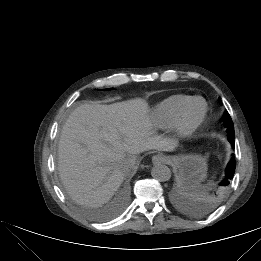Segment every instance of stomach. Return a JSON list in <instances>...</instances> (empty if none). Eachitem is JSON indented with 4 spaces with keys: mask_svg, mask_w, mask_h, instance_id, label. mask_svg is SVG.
<instances>
[{
    "mask_svg": "<svg viewBox=\"0 0 261 261\" xmlns=\"http://www.w3.org/2000/svg\"><path fill=\"white\" fill-rule=\"evenodd\" d=\"M170 160L176 169L178 181L183 187L194 189L205 179L207 163L201 155H180Z\"/></svg>",
    "mask_w": 261,
    "mask_h": 261,
    "instance_id": "1",
    "label": "stomach"
}]
</instances>
